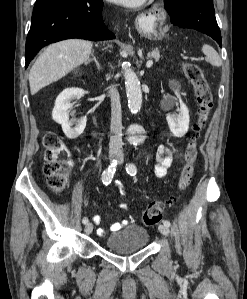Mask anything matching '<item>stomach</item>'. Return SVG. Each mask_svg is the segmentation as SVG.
<instances>
[{"label": "stomach", "instance_id": "stomach-1", "mask_svg": "<svg viewBox=\"0 0 247 299\" xmlns=\"http://www.w3.org/2000/svg\"><path fill=\"white\" fill-rule=\"evenodd\" d=\"M140 28V31L142 33H144L146 36H151V34H155V31H153L152 29L150 28H143V27H139Z\"/></svg>", "mask_w": 247, "mask_h": 299}]
</instances>
